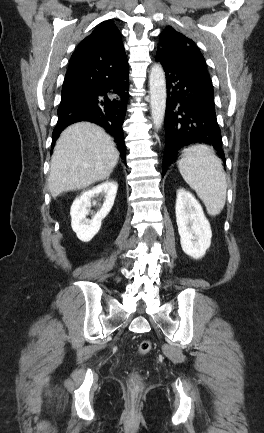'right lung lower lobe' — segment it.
Returning <instances> with one entry per match:
<instances>
[{"label":"right lung lower lobe","instance_id":"1","mask_svg":"<svg viewBox=\"0 0 264 433\" xmlns=\"http://www.w3.org/2000/svg\"><path fill=\"white\" fill-rule=\"evenodd\" d=\"M128 62L120 65L95 64L68 68L58 107L53 144L69 125L89 121L114 136L126 161L122 125L128 100Z\"/></svg>","mask_w":264,"mask_h":433}]
</instances>
